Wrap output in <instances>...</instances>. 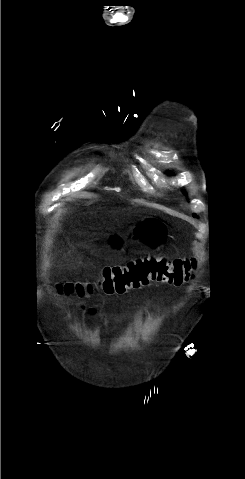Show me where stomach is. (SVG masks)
I'll list each match as a JSON object with an SVG mask.
<instances>
[{"label":"stomach","mask_w":245,"mask_h":479,"mask_svg":"<svg viewBox=\"0 0 245 479\" xmlns=\"http://www.w3.org/2000/svg\"><path fill=\"white\" fill-rule=\"evenodd\" d=\"M167 237V226L158 218L149 217L132 228L127 236L113 234L108 237L112 249L119 251L123 248L127 238L138 240L150 249L160 247Z\"/></svg>","instance_id":"obj_1"}]
</instances>
